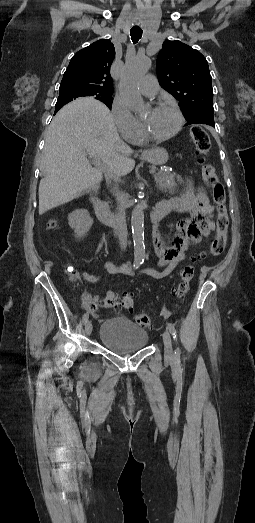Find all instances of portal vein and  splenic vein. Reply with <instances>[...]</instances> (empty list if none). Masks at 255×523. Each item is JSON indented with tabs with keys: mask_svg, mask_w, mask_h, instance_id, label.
<instances>
[{
	"mask_svg": "<svg viewBox=\"0 0 255 523\" xmlns=\"http://www.w3.org/2000/svg\"><path fill=\"white\" fill-rule=\"evenodd\" d=\"M91 158H93V156H91ZM93 162H95L93 167L97 169V171H103V173H106V170H109V167L103 166V163L100 162V158H94ZM153 175H156V170H151L150 176Z\"/></svg>",
	"mask_w": 255,
	"mask_h": 523,
	"instance_id": "obj_1",
	"label": "portal vein and splenic vein"
}]
</instances>
